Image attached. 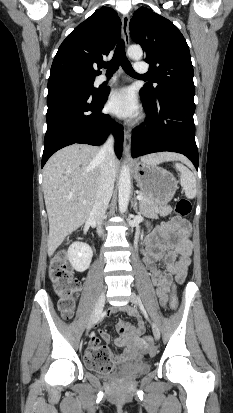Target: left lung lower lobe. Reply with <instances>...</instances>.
<instances>
[{"label": "left lung lower lobe", "mask_w": 233, "mask_h": 413, "mask_svg": "<svg viewBox=\"0 0 233 413\" xmlns=\"http://www.w3.org/2000/svg\"><path fill=\"white\" fill-rule=\"evenodd\" d=\"M140 93L147 117L145 124L133 130L132 156L161 151L177 152L188 157L198 169L194 100L172 93L149 100Z\"/></svg>", "instance_id": "0a47b994"}]
</instances>
